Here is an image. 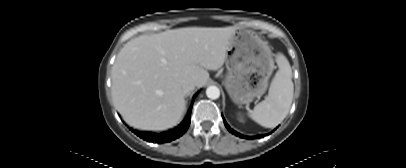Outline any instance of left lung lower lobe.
I'll list each match as a JSON object with an SVG mask.
<instances>
[{
  "label": "left lung lower lobe",
  "mask_w": 406,
  "mask_h": 168,
  "mask_svg": "<svg viewBox=\"0 0 406 168\" xmlns=\"http://www.w3.org/2000/svg\"><path fill=\"white\" fill-rule=\"evenodd\" d=\"M224 124L226 126V128L234 135L239 136L241 138H245V139H255V138H261L263 137V135H258V136H244L242 134H239L238 132L234 131L233 129H231L228 124L226 123L225 119H224ZM265 136V135H264Z\"/></svg>",
  "instance_id": "0a47b994"
}]
</instances>
